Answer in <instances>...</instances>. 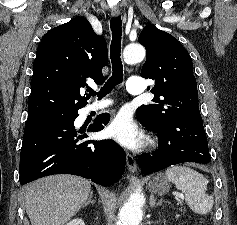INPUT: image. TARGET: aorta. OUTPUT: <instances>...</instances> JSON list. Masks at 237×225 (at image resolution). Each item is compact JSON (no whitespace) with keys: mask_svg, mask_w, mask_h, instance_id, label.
Segmentation results:
<instances>
[{"mask_svg":"<svg viewBox=\"0 0 237 225\" xmlns=\"http://www.w3.org/2000/svg\"><path fill=\"white\" fill-rule=\"evenodd\" d=\"M145 49L139 44L127 45L123 51V57L126 63L136 64L143 61L145 58ZM145 199L141 188L138 186L132 193L128 201L124 204L119 212V225H139L143 212Z\"/></svg>","mask_w":237,"mask_h":225,"instance_id":"1","label":"aorta"}]
</instances>
